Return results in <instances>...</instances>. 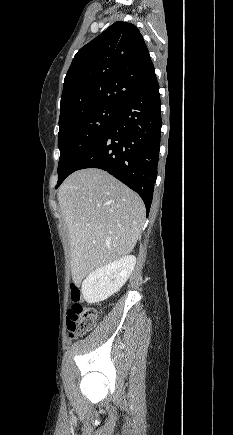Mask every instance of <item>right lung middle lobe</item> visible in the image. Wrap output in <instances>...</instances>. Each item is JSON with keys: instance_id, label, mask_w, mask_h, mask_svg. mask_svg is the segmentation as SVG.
Listing matches in <instances>:
<instances>
[{"instance_id": "right-lung-middle-lobe-1", "label": "right lung middle lobe", "mask_w": 233, "mask_h": 435, "mask_svg": "<svg viewBox=\"0 0 233 435\" xmlns=\"http://www.w3.org/2000/svg\"><path fill=\"white\" fill-rule=\"evenodd\" d=\"M120 107L100 106L59 123L58 182L73 164L102 136Z\"/></svg>"}]
</instances>
